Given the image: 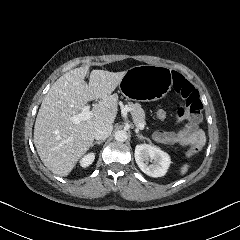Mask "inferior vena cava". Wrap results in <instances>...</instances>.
<instances>
[{
	"instance_id": "obj_1",
	"label": "inferior vena cava",
	"mask_w": 240,
	"mask_h": 240,
	"mask_svg": "<svg viewBox=\"0 0 240 240\" xmlns=\"http://www.w3.org/2000/svg\"><path fill=\"white\" fill-rule=\"evenodd\" d=\"M113 126L111 124H105L97 128L94 132V138L96 140H105L112 132Z\"/></svg>"
}]
</instances>
